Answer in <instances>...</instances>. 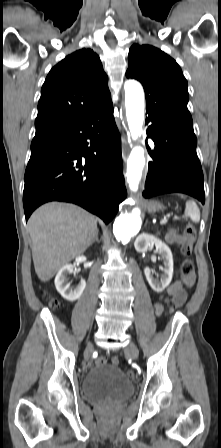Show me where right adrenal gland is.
<instances>
[{"label":"right adrenal gland","instance_id":"1","mask_svg":"<svg viewBox=\"0 0 221 448\" xmlns=\"http://www.w3.org/2000/svg\"><path fill=\"white\" fill-rule=\"evenodd\" d=\"M95 241H96V242H99V238H98V230H97V232H96V235H95L94 240L92 241V244H93Z\"/></svg>","mask_w":221,"mask_h":448}]
</instances>
